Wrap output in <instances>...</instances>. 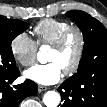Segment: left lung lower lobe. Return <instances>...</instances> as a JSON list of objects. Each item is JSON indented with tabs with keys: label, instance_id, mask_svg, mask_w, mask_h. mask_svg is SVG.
Listing matches in <instances>:
<instances>
[{
	"label": "left lung lower lobe",
	"instance_id": "left-lung-lower-lobe-1",
	"mask_svg": "<svg viewBox=\"0 0 107 107\" xmlns=\"http://www.w3.org/2000/svg\"><path fill=\"white\" fill-rule=\"evenodd\" d=\"M81 87L86 89L84 100H82L83 107H107V77L92 76L84 80ZM77 89L78 86L67 80L61 84L58 88L64 101L61 107H67L66 97L70 95L74 97Z\"/></svg>",
	"mask_w": 107,
	"mask_h": 107
}]
</instances>
